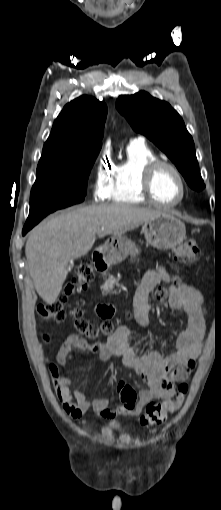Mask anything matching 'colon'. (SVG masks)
<instances>
[{"instance_id":"obj_1","label":"colon","mask_w":221,"mask_h":510,"mask_svg":"<svg viewBox=\"0 0 221 510\" xmlns=\"http://www.w3.org/2000/svg\"><path fill=\"white\" fill-rule=\"evenodd\" d=\"M175 260L182 264H192L200 257V250L194 240H188L181 244L175 250ZM95 274L94 263L89 259H84L78 265L76 274L71 284L68 285L66 293L59 299L47 305L38 308V314L43 320H53L62 322L65 320L67 312L70 311L75 319L74 327L76 331L89 340H96L101 337L111 336L115 331V323L107 320L101 324H95L84 317V310L81 307H70V297L76 293L84 291L87 284L93 279ZM167 291L163 287H157L154 290L153 298L157 301L165 299ZM45 340L47 338L45 337ZM54 378V377H53ZM130 389V386L127 387ZM188 392V384L182 381L178 386V392L175 398H168L161 402L151 401L147 404L145 413L140 417V423L144 427H152L164 423L168 415L177 411Z\"/></svg>"}]
</instances>
